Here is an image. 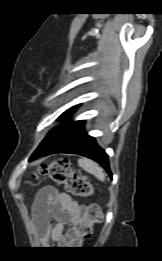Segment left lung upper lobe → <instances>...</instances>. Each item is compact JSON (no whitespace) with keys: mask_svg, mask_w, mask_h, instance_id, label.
<instances>
[{"mask_svg":"<svg viewBox=\"0 0 162 261\" xmlns=\"http://www.w3.org/2000/svg\"><path fill=\"white\" fill-rule=\"evenodd\" d=\"M77 107L78 105L68 109L60 116V118L66 115H70L73 111H75ZM84 123H85L84 120L66 122L63 125L52 129L48 133V135L44 138V140L41 142V144L38 146V148L34 151V153L32 154L29 160L32 161L34 159L43 156L47 151H49L52 147H54L60 140H62L64 137H66L71 132L76 130L78 127L84 125Z\"/></svg>","mask_w":162,"mask_h":261,"instance_id":"obj_1","label":"left lung upper lobe"}]
</instances>
